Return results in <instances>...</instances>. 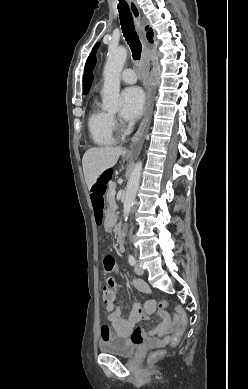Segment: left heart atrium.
Masks as SVG:
<instances>
[{
    "instance_id": "1",
    "label": "left heart atrium",
    "mask_w": 248,
    "mask_h": 389,
    "mask_svg": "<svg viewBox=\"0 0 248 389\" xmlns=\"http://www.w3.org/2000/svg\"><path fill=\"white\" fill-rule=\"evenodd\" d=\"M121 116L127 122L137 120L143 113L145 96L141 88L132 86L121 93Z\"/></svg>"
}]
</instances>
